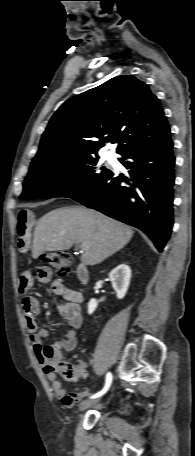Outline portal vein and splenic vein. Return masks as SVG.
I'll list each match as a JSON object with an SVG mask.
<instances>
[{"mask_svg":"<svg viewBox=\"0 0 195 456\" xmlns=\"http://www.w3.org/2000/svg\"><path fill=\"white\" fill-rule=\"evenodd\" d=\"M81 251H84L86 249V246L85 245H81Z\"/></svg>","mask_w":195,"mask_h":456,"instance_id":"obj_1","label":"portal vein and splenic vein"}]
</instances>
